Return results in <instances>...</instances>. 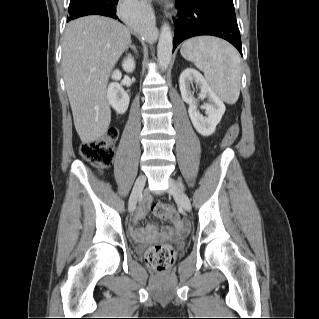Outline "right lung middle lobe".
I'll list each match as a JSON object with an SVG mask.
<instances>
[{"label": "right lung middle lobe", "instance_id": "obj_1", "mask_svg": "<svg viewBox=\"0 0 319 319\" xmlns=\"http://www.w3.org/2000/svg\"><path fill=\"white\" fill-rule=\"evenodd\" d=\"M88 0H70L68 13H74L77 9L81 8Z\"/></svg>", "mask_w": 319, "mask_h": 319}]
</instances>
